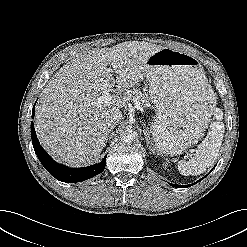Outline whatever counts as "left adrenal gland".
Returning <instances> with one entry per match:
<instances>
[{"instance_id": "obj_1", "label": "left adrenal gland", "mask_w": 247, "mask_h": 247, "mask_svg": "<svg viewBox=\"0 0 247 247\" xmlns=\"http://www.w3.org/2000/svg\"><path fill=\"white\" fill-rule=\"evenodd\" d=\"M143 133H144V136H145V139H146L147 146L149 147V149H151V146H150V136H149L147 130H143ZM151 150L154 152L153 149H151Z\"/></svg>"}]
</instances>
